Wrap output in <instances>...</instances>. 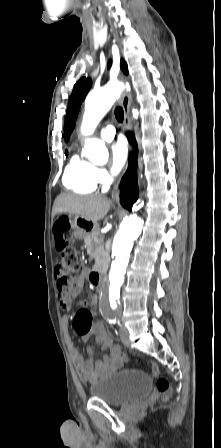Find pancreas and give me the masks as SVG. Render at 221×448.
I'll return each instance as SVG.
<instances>
[{
  "label": "pancreas",
  "mask_w": 221,
  "mask_h": 448,
  "mask_svg": "<svg viewBox=\"0 0 221 448\" xmlns=\"http://www.w3.org/2000/svg\"><path fill=\"white\" fill-rule=\"evenodd\" d=\"M85 247L95 259V266L103 270L108 265V255L104 249L103 239L99 236L98 231L93 230L84 238Z\"/></svg>",
  "instance_id": "1"
}]
</instances>
